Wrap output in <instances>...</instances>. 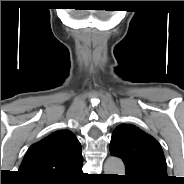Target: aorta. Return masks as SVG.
<instances>
[{"instance_id": "1", "label": "aorta", "mask_w": 184, "mask_h": 184, "mask_svg": "<svg viewBox=\"0 0 184 184\" xmlns=\"http://www.w3.org/2000/svg\"><path fill=\"white\" fill-rule=\"evenodd\" d=\"M105 174L124 175L125 166L123 161L117 157H109L104 164Z\"/></svg>"}]
</instances>
